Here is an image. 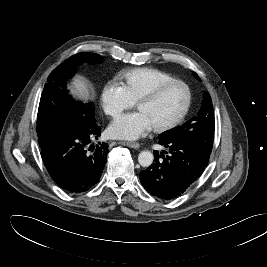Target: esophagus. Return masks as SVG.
<instances>
[{
  "mask_svg": "<svg viewBox=\"0 0 267 267\" xmlns=\"http://www.w3.org/2000/svg\"><path fill=\"white\" fill-rule=\"evenodd\" d=\"M122 144L134 149H138L140 147V144L135 142H122Z\"/></svg>",
  "mask_w": 267,
  "mask_h": 267,
  "instance_id": "esophagus-1",
  "label": "esophagus"
}]
</instances>
